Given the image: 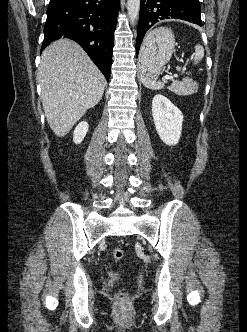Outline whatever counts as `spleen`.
<instances>
[{"mask_svg": "<svg viewBox=\"0 0 247 332\" xmlns=\"http://www.w3.org/2000/svg\"><path fill=\"white\" fill-rule=\"evenodd\" d=\"M203 56H204L203 47L199 44L196 45L195 52L193 54L194 64H198L200 62V60L203 58ZM142 83L144 84L145 87H147L148 89H151V90H160V89L164 88V83H162L161 81H155V79H153V78L142 77ZM195 89L196 88L189 89V88H187L185 83H181V82H173L171 84V86L169 87V90H171L172 92H174L177 95H188L191 92H193V90H195Z\"/></svg>", "mask_w": 247, "mask_h": 332, "instance_id": "3e777b00", "label": "spleen"}]
</instances>
